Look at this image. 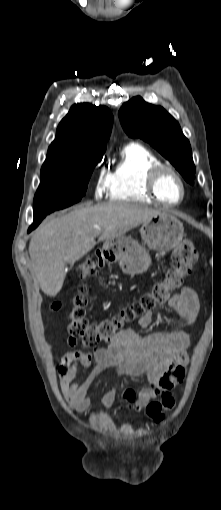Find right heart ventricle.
Returning <instances> with one entry per match:
<instances>
[{
    "instance_id": "obj_1",
    "label": "right heart ventricle",
    "mask_w": 221,
    "mask_h": 510,
    "mask_svg": "<svg viewBox=\"0 0 221 510\" xmlns=\"http://www.w3.org/2000/svg\"><path fill=\"white\" fill-rule=\"evenodd\" d=\"M162 164L161 159L140 143L127 144L109 174L108 196L111 201L153 203L146 187L148 171Z\"/></svg>"
}]
</instances>
